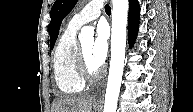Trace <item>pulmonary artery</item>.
I'll return each instance as SVG.
<instances>
[{"label": "pulmonary artery", "instance_id": "e3ab8cb5", "mask_svg": "<svg viewBox=\"0 0 193 112\" xmlns=\"http://www.w3.org/2000/svg\"><path fill=\"white\" fill-rule=\"evenodd\" d=\"M102 7L103 2L100 0H93L89 2L79 13L72 17L69 25L79 29L80 27L98 18Z\"/></svg>", "mask_w": 193, "mask_h": 112}]
</instances>
